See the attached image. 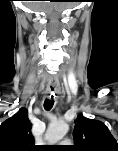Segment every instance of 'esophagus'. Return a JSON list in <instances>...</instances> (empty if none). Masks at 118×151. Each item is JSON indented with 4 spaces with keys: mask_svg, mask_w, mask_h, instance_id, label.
I'll return each instance as SVG.
<instances>
[{
    "mask_svg": "<svg viewBox=\"0 0 118 151\" xmlns=\"http://www.w3.org/2000/svg\"><path fill=\"white\" fill-rule=\"evenodd\" d=\"M56 91H57L56 87H54V86L49 87L48 92H47L48 96L51 97V95H54Z\"/></svg>",
    "mask_w": 118,
    "mask_h": 151,
    "instance_id": "esophagus-1",
    "label": "esophagus"
}]
</instances>
